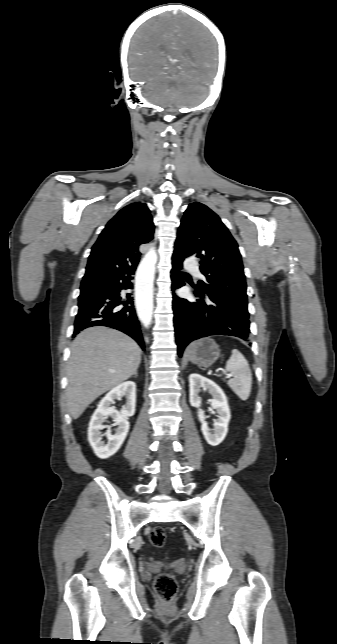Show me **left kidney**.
Listing matches in <instances>:
<instances>
[{
	"mask_svg": "<svg viewBox=\"0 0 337 644\" xmlns=\"http://www.w3.org/2000/svg\"><path fill=\"white\" fill-rule=\"evenodd\" d=\"M190 387V404L198 408V419L201 422V430L205 440L211 446L219 445L225 438L228 432V424L231 419L230 409L223 390L213 381L205 378L199 374L193 373L189 376ZM208 391L212 395L210 399L211 407L216 410L218 418L215 421V430L211 432L207 422L204 411L200 409L201 397L199 396L200 389Z\"/></svg>",
	"mask_w": 337,
	"mask_h": 644,
	"instance_id": "left-kidney-1",
	"label": "left kidney"
}]
</instances>
